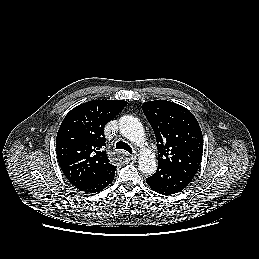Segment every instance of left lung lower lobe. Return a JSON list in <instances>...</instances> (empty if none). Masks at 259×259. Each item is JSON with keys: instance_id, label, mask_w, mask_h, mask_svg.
<instances>
[{"instance_id": "left-lung-lower-lobe-1", "label": "left lung lower lobe", "mask_w": 259, "mask_h": 259, "mask_svg": "<svg viewBox=\"0 0 259 259\" xmlns=\"http://www.w3.org/2000/svg\"><path fill=\"white\" fill-rule=\"evenodd\" d=\"M146 182L151 189L163 195L178 193L189 184L180 174L161 166H158L156 173L148 177Z\"/></svg>"}]
</instances>
